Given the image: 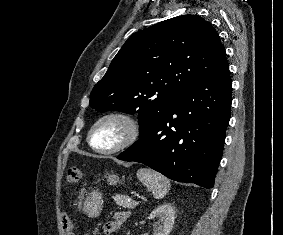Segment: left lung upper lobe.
<instances>
[{"instance_id":"left-lung-upper-lobe-1","label":"left lung upper lobe","mask_w":283,"mask_h":235,"mask_svg":"<svg viewBox=\"0 0 283 235\" xmlns=\"http://www.w3.org/2000/svg\"><path fill=\"white\" fill-rule=\"evenodd\" d=\"M227 62L213 26L182 15L134 33L94 86L90 106L138 113L140 136L170 109L191 84Z\"/></svg>"}]
</instances>
